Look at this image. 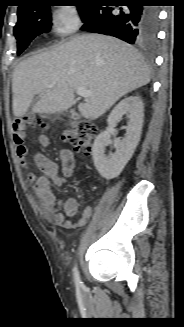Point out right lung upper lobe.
<instances>
[{
	"label": "right lung upper lobe",
	"mask_w": 184,
	"mask_h": 327,
	"mask_svg": "<svg viewBox=\"0 0 184 327\" xmlns=\"http://www.w3.org/2000/svg\"><path fill=\"white\" fill-rule=\"evenodd\" d=\"M41 1L43 0H20L21 5L19 6L18 11L28 8Z\"/></svg>",
	"instance_id": "1"
}]
</instances>
